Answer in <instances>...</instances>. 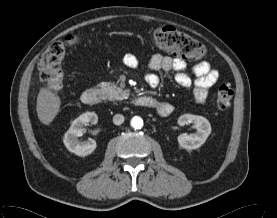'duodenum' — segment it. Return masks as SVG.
<instances>
[{
  "label": "duodenum",
  "mask_w": 277,
  "mask_h": 218,
  "mask_svg": "<svg viewBox=\"0 0 277 218\" xmlns=\"http://www.w3.org/2000/svg\"><path fill=\"white\" fill-rule=\"evenodd\" d=\"M81 100L86 105H91V106L96 105L101 101L100 92L96 88L85 89L81 95ZM133 102L137 106L153 108V109H157V111L159 108H164L165 115H162V116H167L171 113V110H170L171 106H169L168 104L159 102L158 100H156L151 96L140 95L135 97Z\"/></svg>",
  "instance_id": "duodenum-1"
}]
</instances>
